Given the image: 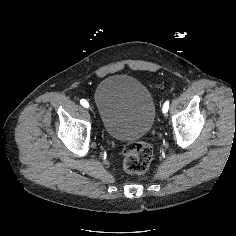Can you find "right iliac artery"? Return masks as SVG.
<instances>
[{
    "label": "right iliac artery",
    "instance_id": "obj_1",
    "mask_svg": "<svg viewBox=\"0 0 236 236\" xmlns=\"http://www.w3.org/2000/svg\"><path fill=\"white\" fill-rule=\"evenodd\" d=\"M80 104L85 108H89V103L85 99H81ZM89 111L93 114V117L95 118V112L92 109H90ZM94 120L96 121L97 119L95 118Z\"/></svg>",
    "mask_w": 236,
    "mask_h": 236
}]
</instances>
